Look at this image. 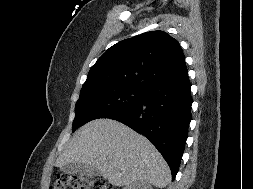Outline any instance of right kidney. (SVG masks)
<instances>
[{"mask_svg": "<svg viewBox=\"0 0 253 189\" xmlns=\"http://www.w3.org/2000/svg\"><path fill=\"white\" fill-rule=\"evenodd\" d=\"M123 189H152L151 185L142 181H136L127 185Z\"/></svg>", "mask_w": 253, "mask_h": 189, "instance_id": "right-kidney-1", "label": "right kidney"}]
</instances>
